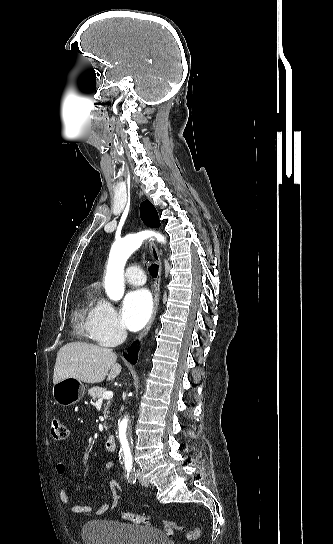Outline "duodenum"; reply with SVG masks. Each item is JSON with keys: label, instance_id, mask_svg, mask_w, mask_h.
I'll use <instances>...</instances> for the list:
<instances>
[{"label": "duodenum", "instance_id": "obj_1", "mask_svg": "<svg viewBox=\"0 0 333 544\" xmlns=\"http://www.w3.org/2000/svg\"><path fill=\"white\" fill-rule=\"evenodd\" d=\"M105 448L108 452H114L116 449V438L115 436H109L105 441Z\"/></svg>", "mask_w": 333, "mask_h": 544}]
</instances>
